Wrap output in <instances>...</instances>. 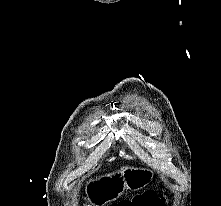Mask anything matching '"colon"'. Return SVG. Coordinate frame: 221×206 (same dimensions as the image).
<instances>
[{
    "label": "colon",
    "instance_id": "colon-1",
    "mask_svg": "<svg viewBox=\"0 0 221 206\" xmlns=\"http://www.w3.org/2000/svg\"><path fill=\"white\" fill-rule=\"evenodd\" d=\"M161 194L156 190H148L135 196L132 200H122L112 206H161Z\"/></svg>",
    "mask_w": 221,
    "mask_h": 206
}]
</instances>
